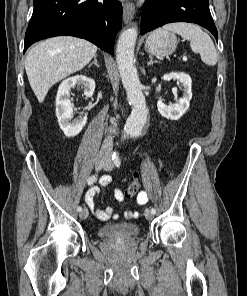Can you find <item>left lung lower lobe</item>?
<instances>
[{"mask_svg": "<svg viewBox=\"0 0 247 296\" xmlns=\"http://www.w3.org/2000/svg\"><path fill=\"white\" fill-rule=\"evenodd\" d=\"M172 22L196 23L218 40L208 0H146L142 9L141 34Z\"/></svg>", "mask_w": 247, "mask_h": 296, "instance_id": "0a47b994", "label": "left lung lower lobe"}]
</instances>
